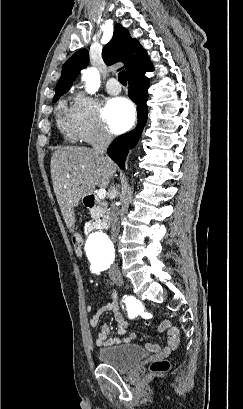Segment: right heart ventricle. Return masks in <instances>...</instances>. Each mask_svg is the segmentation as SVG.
I'll return each instance as SVG.
<instances>
[{"instance_id":"e07e8e85","label":"right heart ventricle","mask_w":243,"mask_h":409,"mask_svg":"<svg viewBox=\"0 0 243 409\" xmlns=\"http://www.w3.org/2000/svg\"><path fill=\"white\" fill-rule=\"evenodd\" d=\"M57 124L59 129L69 138L75 140L71 120V108L67 106L65 101H61L57 108Z\"/></svg>"}]
</instances>
